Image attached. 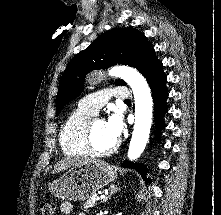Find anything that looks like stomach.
<instances>
[{"label": "stomach", "instance_id": "obj_1", "mask_svg": "<svg viewBox=\"0 0 221 215\" xmlns=\"http://www.w3.org/2000/svg\"><path fill=\"white\" fill-rule=\"evenodd\" d=\"M117 179V169L100 160H91L75 166L54 180L49 187L55 197L62 200L82 201L95 195Z\"/></svg>", "mask_w": 221, "mask_h": 215}]
</instances>
